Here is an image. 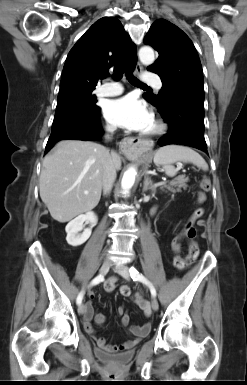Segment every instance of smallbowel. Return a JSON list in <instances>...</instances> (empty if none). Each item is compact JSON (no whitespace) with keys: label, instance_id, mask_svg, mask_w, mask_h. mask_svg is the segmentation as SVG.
Returning a JSON list of instances; mask_svg holds the SVG:
<instances>
[{"label":"small bowel","instance_id":"1","mask_svg":"<svg viewBox=\"0 0 247 385\" xmlns=\"http://www.w3.org/2000/svg\"><path fill=\"white\" fill-rule=\"evenodd\" d=\"M155 211V209L153 210ZM199 218L198 216L194 215L192 216L191 220L189 223H192L195 219ZM116 282H117V277L112 276L109 279L106 280L104 283V289L107 292H113L116 289ZM124 287H129L128 285H122L120 287V293L123 296H130L131 294V288L130 292L128 294H123L122 290ZM89 300L86 302L85 307H86V312L83 317V326L84 329L87 333L89 334H94V328H93V322L97 325H102L106 322L107 316L103 313L97 312L94 304H93V299L95 298V294L93 292H90L88 294ZM134 303L143 311L144 315L146 316V322L141 325H133L130 323V317L128 315L127 309L124 306H120L117 310L118 316H120V324L126 328L129 334L134 336L133 340H128L125 341L124 343L120 345H108L106 344V341L102 337H98L96 339L97 346L99 347L100 351H107V352H123L130 350L138 341L139 339L143 338L146 336L151 328V308L150 304L147 300H145L142 296L136 295L133 298Z\"/></svg>","mask_w":247,"mask_h":385}]
</instances>
